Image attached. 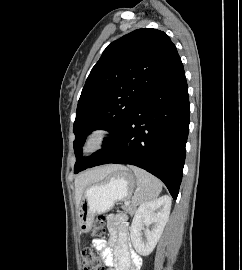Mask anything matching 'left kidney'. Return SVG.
<instances>
[{"label": "left kidney", "instance_id": "5707ae66", "mask_svg": "<svg viewBox=\"0 0 242 270\" xmlns=\"http://www.w3.org/2000/svg\"><path fill=\"white\" fill-rule=\"evenodd\" d=\"M170 209L171 198L166 195L139 206L130 228L131 241L138 254L148 256L153 251L168 221ZM144 225L147 226L145 230ZM150 225H153L151 230Z\"/></svg>", "mask_w": 242, "mask_h": 270}]
</instances>
